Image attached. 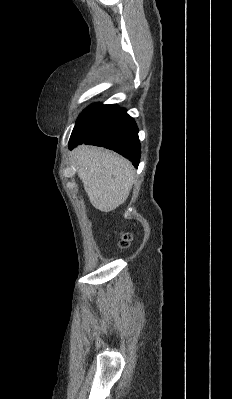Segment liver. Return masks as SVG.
Instances as JSON below:
<instances>
[{
  "instance_id": "liver-1",
  "label": "liver",
  "mask_w": 232,
  "mask_h": 399,
  "mask_svg": "<svg viewBox=\"0 0 232 399\" xmlns=\"http://www.w3.org/2000/svg\"><path fill=\"white\" fill-rule=\"evenodd\" d=\"M73 154L78 178L96 209L112 211L127 200L135 180L131 162L95 146H78Z\"/></svg>"
}]
</instances>
